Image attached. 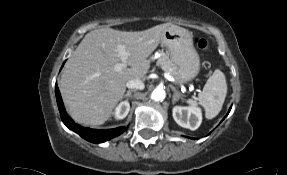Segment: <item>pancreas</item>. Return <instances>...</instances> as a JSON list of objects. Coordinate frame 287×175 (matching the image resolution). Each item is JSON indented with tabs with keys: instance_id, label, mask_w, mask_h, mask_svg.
I'll list each match as a JSON object with an SVG mask.
<instances>
[{
	"instance_id": "cf45deb5",
	"label": "pancreas",
	"mask_w": 287,
	"mask_h": 175,
	"mask_svg": "<svg viewBox=\"0 0 287 175\" xmlns=\"http://www.w3.org/2000/svg\"><path fill=\"white\" fill-rule=\"evenodd\" d=\"M157 64L163 67L166 72H169L171 75H174L177 69L176 65L170 60L168 55L163 52H161V55L157 60Z\"/></svg>"
}]
</instances>
